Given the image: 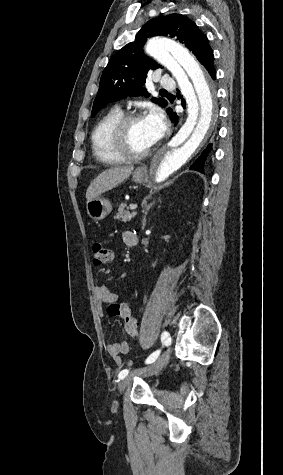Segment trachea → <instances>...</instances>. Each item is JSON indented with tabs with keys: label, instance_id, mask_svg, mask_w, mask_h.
Masks as SVG:
<instances>
[{
	"label": "trachea",
	"instance_id": "obj_1",
	"mask_svg": "<svg viewBox=\"0 0 283 475\" xmlns=\"http://www.w3.org/2000/svg\"><path fill=\"white\" fill-rule=\"evenodd\" d=\"M162 92H163V93H166L167 95H169V94H168V92H167L166 90H162Z\"/></svg>",
	"mask_w": 283,
	"mask_h": 475
}]
</instances>
